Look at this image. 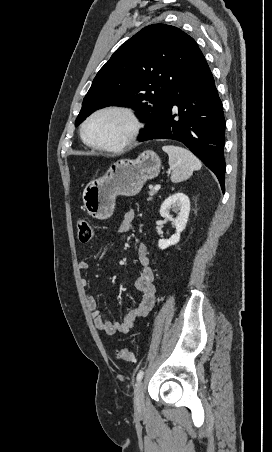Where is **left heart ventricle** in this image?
I'll use <instances>...</instances> for the list:
<instances>
[{"label":"left heart ventricle","mask_w":272,"mask_h":452,"mask_svg":"<svg viewBox=\"0 0 272 452\" xmlns=\"http://www.w3.org/2000/svg\"><path fill=\"white\" fill-rule=\"evenodd\" d=\"M130 129L128 119L119 113H104L95 117L86 128L90 142L115 145L123 141Z\"/></svg>","instance_id":"left-heart-ventricle-1"}]
</instances>
